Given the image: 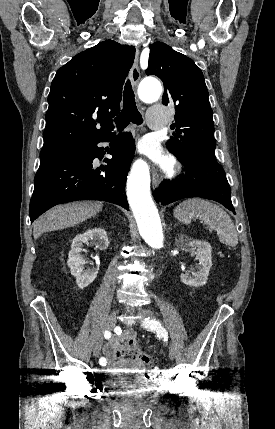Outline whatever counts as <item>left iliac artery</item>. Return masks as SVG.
<instances>
[{
  "instance_id": "44dca946",
  "label": "left iliac artery",
  "mask_w": 275,
  "mask_h": 429,
  "mask_svg": "<svg viewBox=\"0 0 275 429\" xmlns=\"http://www.w3.org/2000/svg\"><path fill=\"white\" fill-rule=\"evenodd\" d=\"M159 323L155 320H146L145 321V326L150 328V329H156L158 327Z\"/></svg>"
}]
</instances>
